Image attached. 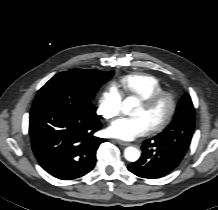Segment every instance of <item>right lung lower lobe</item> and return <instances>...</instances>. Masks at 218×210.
I'll return each mask as SVG.
<instances>
[{
	"label": "right lung lower lobe",
	"instance_id": "right-lung-lower-lobe-1",
	"mask_svg": "<svg viewBox=\"0 0 218 210\" xmlns=\"http://www.w3.org/2000/svg\"><path fill=\"white\" fill-rule=\"evenodd\" d=\"M102 127L97 115L88 116L61 106L31 109L29 135L41 167L52 176L70 180L90 172L104 139L93 134Z\"/></svg>",
	"mask_w": 218,
	"mask_h": 210
}]
</instances>
